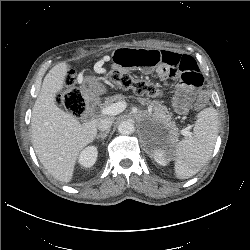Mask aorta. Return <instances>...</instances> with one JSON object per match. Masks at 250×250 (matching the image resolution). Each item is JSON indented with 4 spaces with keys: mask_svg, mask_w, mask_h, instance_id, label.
I'll return each instance as SVG.
<instances>
[{
    "mask_svg": "<svg viewBox=\"0 0 250 250\" xmlns=\"http://www.w3.org/2000/svg\"><path fill=\"white\" fill-rule=\"evenodd\" d=\"M135 131L134 124L129 121H121L118 125V132L122 135H130Z\"/></svg>",
    "mask_w": 250,
    "mask_h": 250,
    "instance_id": "762f6f07",
    "label": "aorta"
}]
</instances>
